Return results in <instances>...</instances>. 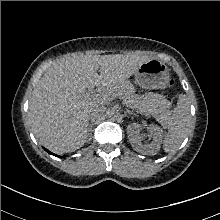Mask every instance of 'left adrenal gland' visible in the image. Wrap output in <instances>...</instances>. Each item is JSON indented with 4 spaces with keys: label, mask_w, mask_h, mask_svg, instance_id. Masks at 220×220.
Segmentation results:
<instances>
[{
    "label": "left adrenal gland",
    "mask_w": 220,
    "mask_h": 220,
    "mask_svg": "<svg viewBox=\"0 0 220 220\" xmlns=\"http://www.w3.org/2000/svg\"><path fill=\"white\" fill-rule=\"evenodd\" d=\"M129 115H136L134 112L127 111Z\"/></svg>",
    "instance_id": "a2214340"
}]
</instances>
